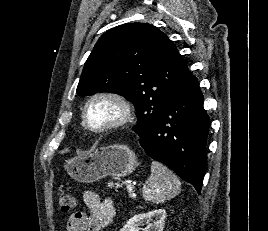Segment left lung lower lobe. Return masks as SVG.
I'll return each instance as SVG.
<instances>
[{
	"label": "left lung lower lobe",
	"instance_id": "obj_1",
	"mask_svg": "<svg viewBox=\"0 0 268 231\" xmlns=\"http://www.w3.org/2000/svg\"><path fill=\"white\" fill-rule=\"evenodd\" d=\"M209 126L203 95L191 75L171 94L154 126L139 134L140 145L148 156L166 164L200 193Z\"/></svg>",
	"mask_w": 268,
	"mask_h": 231
}]
</instances>
